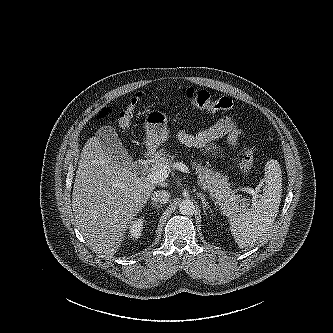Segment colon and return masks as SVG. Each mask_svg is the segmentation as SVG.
I'll return each mask as SVG.
<instances>
[{"label":"colon","mask_w":333,"mask_h":333,"mask_svg":"<svg viewBox=\"0 0 333 333\" xmlns=\"http://www.w3.org/2000/svg\"><path fill=\"white\" fill-rule=\"evenodd\" d=\"M186 99L188 102L200 109L209 111H230L233 108V102L228 97H216L206 90L188 88L186 90ZM142 98V94H136L128 107L125 109L115 111L111 108L102 110L98 119H105L112 115H117L119 126L122 129H127L132 122L136 104ZM253 164V150L250 146L246 147L240 158L241 170L244 174H248Z\"/></svg>","instance_id":"1"}]
</instances>
